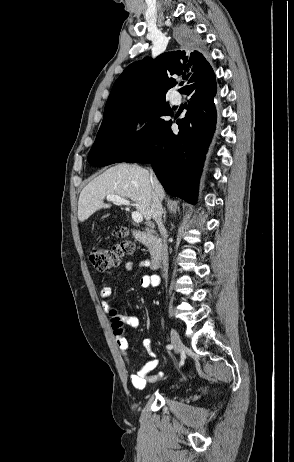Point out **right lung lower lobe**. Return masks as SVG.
<instances>
[{"mask_svg": "<svg viewBox=\"0 0 294 462\" xmlns=\"http://www.w3.org/2000/svg\"><path fill=\"white\" fill-rule=\"evenodd\" d=\"M216 91L215 74L191 85L183 92L191 99L185 117L177 121L179 132L171 130V121H164L123 161L151 163L169 194L194 203L204 155L216 125Z\"/></svg>", "mask_w": 294, "mask_h": 462, "instance_id": "obj_1", "label": "right lung lower lobe"}]
</instances>
